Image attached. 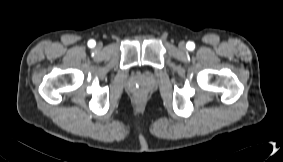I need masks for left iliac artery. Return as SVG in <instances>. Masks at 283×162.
Instances as JSON below:
<instances>
[{"instance_id": "left-iliac-artery-1", "label": "left iliac artery", "mask_w": 283, "mask_h": 162, "mask_svg": "<svg viewBox=\"0 0 283 162\" xmlns=\"http://www.w3.org/2000/svg\"><path fill=\"white\" fill-rule=\"evenodd\" d=\"M187 49L193 50L195 48V45L193 42L189 41L186 45Z\"/></svg>"}]
</instances>
